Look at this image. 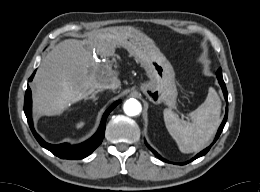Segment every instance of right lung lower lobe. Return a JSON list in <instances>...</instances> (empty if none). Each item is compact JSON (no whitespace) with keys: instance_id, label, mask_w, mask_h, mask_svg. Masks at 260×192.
Instances as JSON below:
<instances>
[{"instance_id":"right-lung-lower-lobe-1","label":"right lung lower lobe","mask_w":260,"mask_h":192,"mask_svg":"<svg viewBox=\"0 0 260 192\" xmlns=\"http://www.w3.org/2000/svg\"><path fill=\"white\" fill-rule=\"evenodd\" d=\"M35 72L32 74V76L29 78V81H31L34 77ZM121 101L115 102L113 105L109 107V109L104 113L101 124L97 130V132L87 141L78 144V145H70L68 143L58 144V145H52L49 143H46L34 130L33 127V121L31 118V90L29 86L27 87L26 93H25V100H24V112L27 117L29 126L31 128V131L37 141L40 143V145L47 150L51 151L54 155L63 158V159H83L90 155L102 142L105 134V124L106 119L109 115V113L120 103Z\"/></svg>"}]
</instances>
